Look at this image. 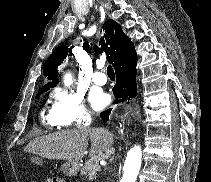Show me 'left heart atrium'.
Returning <instances> with one entry per match:
<instances>
[{"label": "left heart atrium", "instance_id": "left-heart-atrium-1", "mask_svg": "<svg viewBox=\"0 0 211 182\" xmlns=\"http://www.w3.org/2000/svg\"><path fill=\"white\" fill-rule=\"evenodd\" d=\"M92 108L96 111L103 109L108 104V96L100 91L92 92L89 97Z\"/></svg>", "mask_w": 211, "mask_h": 182}]
</instances>
